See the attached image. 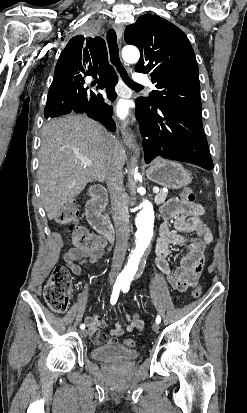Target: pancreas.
I'll list each match as a JSON object with an SVG mask.
<instances>
[{
	"instance_id": "cf45deb5",
	"label": "pancreas",
	"mask_w": 247,
	"mask_h": 413,
	"mask_svg": "<svg viewBox=\"0 0 247 413\" xmlns=\"http://www.w3.org/2000/svg\"><path fill=\"white\" fill-rule=\"evenodd\" d=\"M167 194L168 192H163V190H161V192H158V194H156L154 198L156 204H162V202H165Z\"/></svg>"
}]
</instances>
